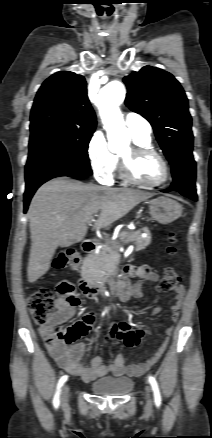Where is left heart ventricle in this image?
<instances>
[{
  "label": "left heart ventricle",
  "instance_id": "obj_1",
  "mask_svg": "<svg viewBox=\"0 0 212 438\" xmlns=\"http://www.w3.org/2000/svg\"><path fill=\"white\" fill-rule=\"evenodd\" d=\"M130 149L122 153L123 156L128 155ZM133 175L140 181L146 183L159 182L164 171L160 160L153 155H144L136 158L132 164Z\"/></svg>",
  "mask_w": 212,
  "mask_h": 438
}]
</instances>
